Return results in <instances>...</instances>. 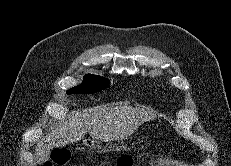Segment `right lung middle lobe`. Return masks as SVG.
I'll use <instances>...</instances> for the list:
<instances>
[{
	"instance_id": "right-lung-middle-lobe-1",
	"label": "right lung middle lobe",
	"mask_w": 231,
	"mask_h": 166,
	"mask_svg": "<svg viewBox=\"0 0 231 166\" xmlns=\"http://www.w3.org/2000/svg\"><path fill=\"white\" fill-rule=\"evenodd\" d=\"M109 79L104 77L87 74L81 85L69 89L67 94H91L102 91L109 86Z\"/></svg>"
}]
</instances>
